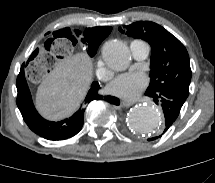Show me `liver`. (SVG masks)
Wrapping results in <instances>:
<instances>
[{
    "instance_id": "1",
    "label": "liver",
    "mask_w": 215,
    "mask_h": 183,
    "mask_svg": "<svg viewBox=\"0 0 215 183\" xmlns=\"http://www.w3.org/2000/svg\"><path fill=\"white\" fill-rule=\"evenodd\" d=\"M92 76V62L85 53L59 61L38 87L37 110L54 121L70 116L86 96Z\"/></svg>"
}]
</instances>
